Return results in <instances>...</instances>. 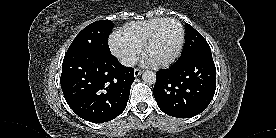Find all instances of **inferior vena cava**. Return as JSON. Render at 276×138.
<instances>
[{"label":"inferior vena cava","mask_w":276,"mask_h":138,"mask_svg":"<svg viewBox=\"0 0 276 138\" xmlns=\"http://www.w3.org/2000/svg\"><path fill=\"white\" fill-rule=\"evenodd\" d=\"M136 62H137V59L134 56H123L120 59V63L123 66H126V67H132V66H134L136 64Z\"/></svg>","instance_id":"602c4592"}]
</instances>
